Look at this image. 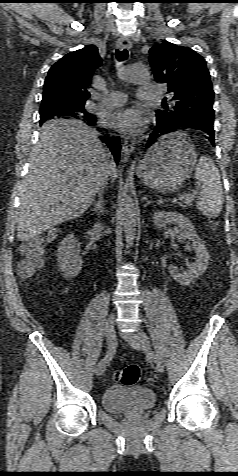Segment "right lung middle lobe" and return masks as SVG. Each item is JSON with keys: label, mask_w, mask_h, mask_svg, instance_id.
<instances>
[{"label": "right lung middle lobe", "mask_w": 238, "mask_h": 476, "mask_svg": "<svg viewBox=\"0 0 238 476\" xmlns=\"http://www.w3.org/2000/svg\"><path fill=\"white\" fill-rule=\"evenodd\" d=\"M53 117H73L86 122H95L94 115L88 113L84 105H71L57 101H44L40 108V123Z\"/></svg>", "instance_id": "right-lung-middle-lobe-1"}]
</instances>
